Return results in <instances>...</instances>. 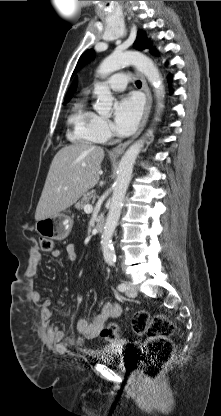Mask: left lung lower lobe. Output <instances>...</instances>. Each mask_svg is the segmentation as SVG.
Listing matches in <instances>:
<instances>
[{"label": "left lung lower lobe", "mask_w": 221, "mask_h": 416, "mask_svg": "<svg viewBox=\"0 0 221 416\" xmlns=\"http://www.w3.org/2000/svg\"><path fill=\"white\" fill-rule=\"evenodd\" d=\"M171 79H172V76H170V75H169V76H168V80H169V81H171Z\"/></svg>", "instance_id": "0a47b994"}]
</instances>
